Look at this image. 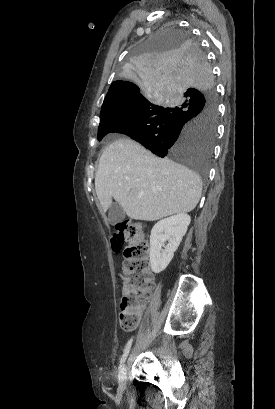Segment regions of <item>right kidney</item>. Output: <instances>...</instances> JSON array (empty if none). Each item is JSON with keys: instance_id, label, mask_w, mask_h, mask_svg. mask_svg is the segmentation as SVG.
I'll return each mask as SVG.
<instances>
[{"instance_id": "right-kidney-1", "label": "right kidney", "mask_w": 275, "mask_h": 409, "mask_svg": "<svg viewBox=\"0 0 275 409\" xmlns=\"http://www.w3.org/2000/svg\"><path fill=\"white\" fill-rule=\"evenodd\" d=\"M191 217L185 213L162 219L154 225L150 237V265L154 273H161L174 257L187 229ZM165 241H168L164 247ZM164 247V249H162Z\"/></svg>"}]
</instances>
